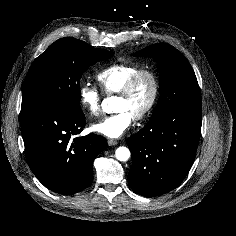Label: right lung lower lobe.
<instances>
[{
  "label": "right lung lower lobe",
  "mask_w": 236,
  "mask_h": 236,
  "mask_svg": "<svg viewBox=\"0 0 236 236\" xmlns=\"http://www.w3.org/2000/svg\"><path fill=\"white\" fill-rule=\"evenodd\" d=\"M82 111L36 106L21 111V133L27 163L53 192L71 195L88 187L93 161L107 147L95 134L74 137L85 127Z\"/></svg>",
  "instance_id": "right-lung-lower-lobe-1"
}]
</instances>
